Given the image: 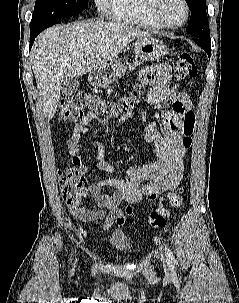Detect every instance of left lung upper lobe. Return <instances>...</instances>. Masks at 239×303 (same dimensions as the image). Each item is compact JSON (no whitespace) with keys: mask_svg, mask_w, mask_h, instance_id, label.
Masks as SVG:
<instances>
[{"mask_svg":"<svg viewBox=\"0 0 239 303\" xmlns=\"http://www.w3.org/2000/svg\"><path fill=\"white\" fill-rule=\"evenodd\" d=\"M191 11L187 32L194 38L210 39L209 23L206 13V0H186Z\"/></svg>","mask_w":239,"mask_h":303,"instance_id":"5c2ea615","label":"left lung upper lobe"}]
</instances>
